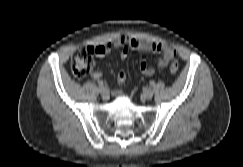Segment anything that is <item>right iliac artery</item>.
Wrapping results in <instances>:
<instances>
[{"label": "right iliac artery", "instance_id": "82829eb1", "mask_svg": "<svg viewBox=\"0 0 243 167\" xmlns=\"http://www.w3.org/2000/svg\"><path fill=\"white\" fill-rule=\"evenodd\" d=\"M98 85H99V87H103L104 86V82L103 81H98Z\"/></svg>", "mask_w": 243, "mask_h": 167}]
</instances>
